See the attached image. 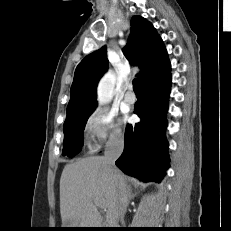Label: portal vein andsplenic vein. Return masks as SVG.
<instances>
[{"label": "portal vein and splenic vein", "mask_w": 231, "mask_h": 231, "mask_svg": "<svg viewBox=\"0 0 231 231\" xmlns=\"http://www.w3.org/2000/svg\"><path fill=\"white\" fill-rule=\"evenodd\" d=\"M93 201L98 207L103 208L102 202L100 201L99 198H97V197L93 198Z\"/></svg>", "instance_id": "18ae733b"}]
</instances>
